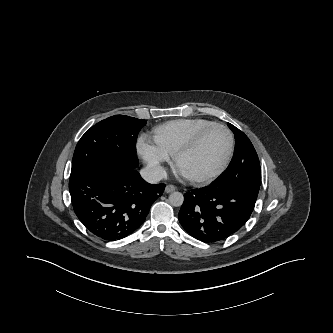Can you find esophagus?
<instances>
[{
	"mask_svg": "<svg viewBox=\"0 0 333 333\" xmlns=\"http://www.w3.org/2000/svg\"><path fill=\"white\" fill-rule=\"evenodd\" d=\"M175 189H176L175 186L169 184L165 187V192L166 193H171V192L175 191Z\"/></svg>",
	"mask_w": 333,
	"mask_h": 333,
	"instance_id": "34e87169",
	"label": "esophagus"
}]
</instances>
